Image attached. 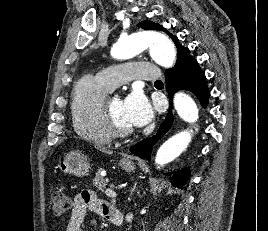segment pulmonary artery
Returning a JSON list of instances; mask_svg holds the SVG:
<instances>
[{
    "label": "pulmonary artery",
    "instance_id": "obj_1",
    "mask_svg": "<svg viewBox=\"0 0 268 231\" xmlns=\"http://www.w3.org/2000/svg\"><path fill=\"white\" fill-rule=\"evenodd\" d=\"M97 76L110 89H114L132 78L155 81L160 77L158 66L145 62L109 66L98 72Z\"/></svg>",
    "mask_w": 268,
    "mask_h": 231
}]
</instances>
